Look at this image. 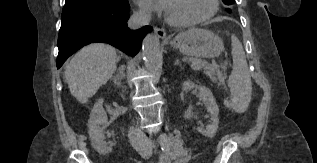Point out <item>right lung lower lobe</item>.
<instances>
[{
    "mask_svg": "<svg viewBox=\"0 0 317 163\" xmlns=\"http://www.w3.org/2000/svg\"><path fill=\"white\" fill-rule=\"evenodd\" d=\"M129 10V4L124 3L62 21L58 36L57 68L78 49L92 42H106L129 55H136L144 36L152 28L145 26L137 31L130 30L127 26Z\"/></svg>",
    "mask_w": 317,
    "mask_h": 163,
    "instance_id": "1",
    "label": "right lung lower lobe"
}]
</instances>
